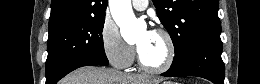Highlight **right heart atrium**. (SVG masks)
Here are the masks:
<instances>
[{
    "label": "right heart atrium",
    "mask_w": 260,
    "mask_h": 84,
    "mask_svg": "<svg viewBox=\"0 0 260 84\" xmlns=\"http://www.w3.org/2000/svg\"><path fill=\"white\" fill-rule=\"evenodd\" d=\"M100 40L105 57L114 67L125 69L132 65L135 48L124 40L117 24L110 17L103 21Z\"/></svg>",
    "instance_id": "d8ad5b80"
}]
</instances>
